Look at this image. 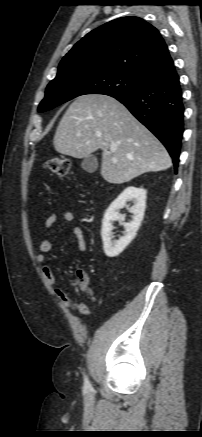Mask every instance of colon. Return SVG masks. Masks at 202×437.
Returning a JSON list of instances; mask_svg holds the SVG:
<instances>
[{"label":"colon","instance_id":"obj_1","mask_svg":"<svg viewBox=\"0 0 202 437\" xmlns=\"http://www.w3.org/2000/svg\"><path fill=\"white\" fill-rule=\"evenodd\" d=\"M45 168L59 177H67L70 174L71 162L65 157H53L48 159L45 164ZM85 274L82 271H77L74 276V283L82 290H88V284L85 279Z\"/></svg>","mask_w":202,"mask_h":437}]
</instances>
